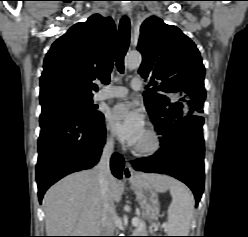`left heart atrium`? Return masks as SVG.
<instances>
[{
    "label": "left heart atrium",
    "instance_id": "obj_1",
    "mask_svg": "<svg viewBox=\"0 0 248 237\" xmlns=\"http://www.w3.org/2000/svg\"><path fill=\"white\" fill-rule=\"evenodd\" d=\"M107 123L118 138L128 145H137L146 133L143 114L130 103L115 105L108 112Z\"/></svg>",
    "mask_w": 248,
    "mask_h": 237
}]
</instances>
